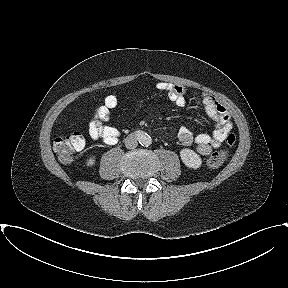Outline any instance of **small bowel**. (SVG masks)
<instances>
[{
    "mask_svg": "<svg viewBox=\"0 0 288 288\" xmlns=\"http://www.w3.org/2000/svg\"><path fill=\"white\" fill-rule=\"evenodd\" d=\"M156 88L164 92L176 106L183 107L186 105V89L183 86L160 81L156 84ZM200 99L205 112L214 121L215 127L212 134L194 135L187 127H181L178 132V140L185 146H194L199 154L207 156L222 145L232 128V124L227 109L210 94L203 92ZM117 105V96L108 95L103 103L96 108L94 117L89 122V135L93 140H100L105 145H114L118 142L119 130L106 124L110 119L111 111Z\"/></svg>",
    "mask_w": 288,
    "mask_h": 288,
    "instance_id": "obj_1",
    "label": "small bowel"
}]
</instances>
